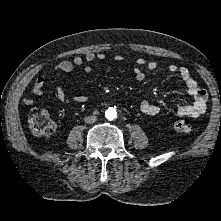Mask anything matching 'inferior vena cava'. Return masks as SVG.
Listing matches in <instances>:
<instances>
[{
	"label": "inferior vena cava",
	"instance_id": "obj_1",
	"mask_svg": "<svg viewBox=\"0 0 221 221\" xmlns=\"http://www.w3.org/2000/svg\"><path fill=\"white\" fill-rule=\"evenodd\" d=\"M96 120H97L96 116H87V117H85V122L89 123V124L94 123Z\"/></svg>",
	"mask_w": 221,
	"mask_h": 221
}]
</instances>
